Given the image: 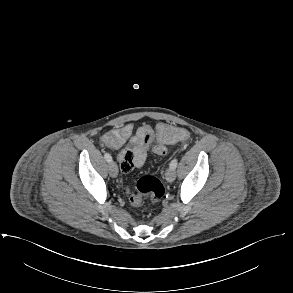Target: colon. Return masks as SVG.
Segmentation results:
<instances>
[{"mask_svg": "<svg viewBox=\"0 0 293 293\" xmlns=\"http://www.w3.org/2000/svg\"><path fill=\"white\" fill-rule=\"evenodd\" d=\"M154 153L158 155H166L169 151L168 147L162 143H156L153 135L148 134L145 138ZM137 193L129 195V202L133 206H139L147 198L150 203L158 204L165 195V187L162 182L152 175H144L137 182Z\"/></svg>", "mask_w": 293, "mask_h": 293, "instance_id": "5ec220e1", "label": "colon"}]
</instances>
